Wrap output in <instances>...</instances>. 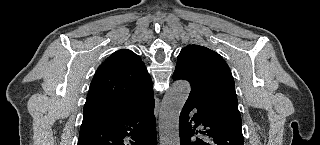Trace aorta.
<instances>
[{"label": "aorta", "instance_id": "762f6f07", "mask_svg": "<svg viewBox=\"0 0 320 145\" xmlns=\"http://www.w3.org/2000/svg\"><path fill=\"white\" fill-rule=\"evenodd\" d=\"M190 83L175 81L167 90L159 114L160 145H179V116L189 96Z\"/></svg>", "mask_w": 320, "mask_h": 145}]
</instances>
